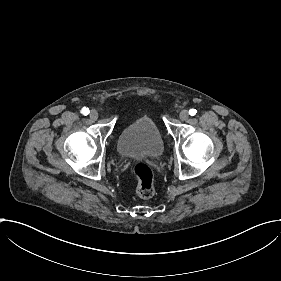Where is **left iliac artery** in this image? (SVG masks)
I'll return each instance as SVG.
<instances>
[{"mask_svg": "<svg viewBox=\"0 0 281 281\" xmlns=\"http://www.w3.org/2000/svg\"><path fill=\"white\" fill-rule=\"evenodd\" d=\"M197 113L196 109H190L189 110V115L194 116Z\"/></svg>", "mask_w": 281, "mask_h": 281, "instance_id": "44dca946", "label": "left iliac artery"}]
</instances>
